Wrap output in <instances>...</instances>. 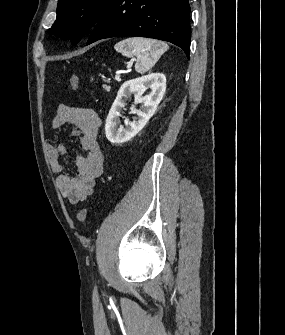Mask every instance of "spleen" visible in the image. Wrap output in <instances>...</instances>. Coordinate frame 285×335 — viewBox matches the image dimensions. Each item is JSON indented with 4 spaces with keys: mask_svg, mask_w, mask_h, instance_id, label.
<instances>
[{
    "mask_svg": "<svg viewBox=\"0 0 285 335\" xmlns=\"http://www.w3.org/2000/svg\"><path fill=\"white\" fill-rule=\"evenodd\" d=\"M114 50L120 52L126 58L136 56L137 62L135 70L138 74L148 72L150 68L155 66L160 56L169 50V46L165 42H158V40H149V38H127L115 44Z\"/></svg>",
    "mask_w": 285,
    "mask_h": 335,
    "instance_id": "3e777b00",
    "label": "spleen"
}]
</instances>
